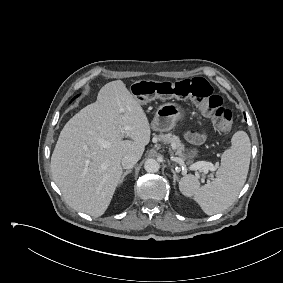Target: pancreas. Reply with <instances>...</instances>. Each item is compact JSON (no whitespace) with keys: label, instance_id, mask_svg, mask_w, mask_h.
<instances>
[{"label":"pancreas","instance_id":"cf45deb5","mask_svg":"<svg viewBox=\"0 0 283 283\" xmlns=\"http://www.w3.org/2000/svg\"><path fill=\"white\" fill-rule=\"evenodd\" d=\"M159 140L171 144L173 149L176 150V155H178L183 160L185 159L183 154L184 145L182 144L178 136L172 135L171 133L165 135L161 134L159 135Z\"/></svg>","mask_w":283,"mask_h":283}]
</instances>
